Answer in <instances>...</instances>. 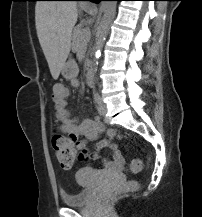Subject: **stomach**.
<instances>
[{"label": "stomach", "instance_id": "stomach-1", "mask_svg": "<svg viewBox=\"0 0 202 217\" xmlns=\"http://www.w3.org/2000/svg\"><path fill=\"white\" fill-rule=\"evenodd\" d=\"M78 66L74 61H67L62 68V75L66 79H72L78 74Z\"/></svg>", "mask_w": 202, "mask_h": 217}]
</instances>
